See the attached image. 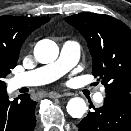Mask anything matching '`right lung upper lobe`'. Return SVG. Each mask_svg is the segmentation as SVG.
<instances>
[{
    "label": "right lung upper lobe",
    "instance_id": "1",
    "mask_svg": "<svg viewBox=\"0 0 131 131\" xmlns=\"http://www.w3.org/2000/svg\"><path fill=\"white\" fill-rule=\"evenodd\" d=\"M49 20L48 17L1 16L0 59L18 60L27 36Z\"/></svg>",
    "mask_w": 131,
    "mask_h": 131
}]
</instances>
